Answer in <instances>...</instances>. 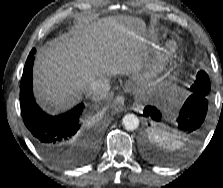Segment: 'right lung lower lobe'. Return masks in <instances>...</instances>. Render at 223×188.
<instances>
[{
	"instance_id": "right-lung-lower-lobe-1",
	"label": "right lung lower lobe",
	"mask_w": 223,
	"mask_h": 188,
	"mask_svg": "<svg viewBox=\"0 0 223 188\" xmlns=\"http://www.w3.org/2000/svg\"><path fill=\"white\" fill-rule=\"evenodd\" d=\"M36 50L30 52L20 83V104L25 126L34 144L54 164L73 168L86 163L100 145L98 131L91 127L81 130L79 122L84 105L69 112L50 116L36 104L32 91V67ZM82 139V140H81ZM82 141L81 145L78 143Z\"/></svg>"
}]
</instances>
